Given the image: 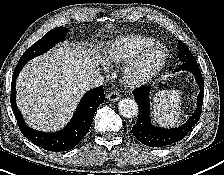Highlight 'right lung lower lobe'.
Listing matches in <instances>:
<instances>
[{"label": "right lung lower lobe", "mask_w": 224, "mask_h": 175, "mask_svg": "<svg viewBox=\"0 0 224 175\" xmlns=\"http://www.w3.org/2000/svg\"><path fill=\"white\" fill-rule=\"evenodd\" d=\"M26 61L18 62L11 83V106L16 116L18 126L22 134L39 147L48 151H68L74 148L88 133L98 106L104 101L103 88L97 87L84 95L70 123L56 133H44L28 127L16 105V78L26 64Z\"/></svg>", "instance_id": "98d812e1"}]
</instances>
